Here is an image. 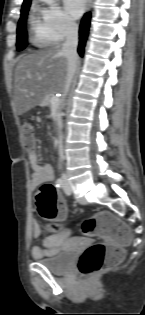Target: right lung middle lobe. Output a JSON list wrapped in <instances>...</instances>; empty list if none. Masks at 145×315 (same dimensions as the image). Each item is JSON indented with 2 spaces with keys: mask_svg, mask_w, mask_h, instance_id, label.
I'll list each match as a JSON object with an SVG mask.
<instances>
[{
  "mask_svg": "<svg viewBox=\"0 0 145 315\" xmlns=\"http://www.w3.org/2000/svg\"><path fill=\"white\" fill-rule=\"evenodd\" d=\"M30 5L22 7L21 18L17 27V49L23 50L27 46L26 18Z\"/></svg>",
  "mask_w": 145,
  "mask_h": 315,
  "instance_id": "dd1d6c3e",
  "label": "right lung middle lobe"
}]
</instances>
